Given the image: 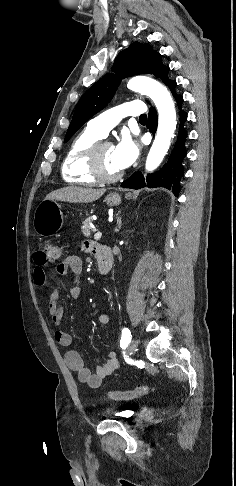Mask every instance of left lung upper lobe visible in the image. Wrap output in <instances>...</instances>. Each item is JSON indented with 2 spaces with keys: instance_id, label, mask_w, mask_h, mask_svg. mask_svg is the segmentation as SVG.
Returning <instances> with one entry per match:
<instances>
[{
  "instance_id": "left-lung-upper-lobe-1",
  "label": "left lung upper lobe",
  "mask_w": 236,
  "mask_h": 486,
  "mask_svg": "<svg viewBox=\"0 0 236 486\" xmlns=\"http://www.w3.org/2000/svg\"><path fill=\"white\" fill-rule=\"evenodd\" d=\"M108 73L93 84L78 102L72 121L65 136L67 142L82 125L104 109L113 98L121 78L137 74H153L166 82L170 71L161 62V54L152 50L149 44L134 42L120 52Z\"/></svg>"
}]
</instances>
